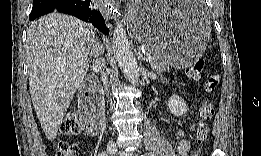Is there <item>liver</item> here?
I'll return each instance as SVG.
<instances>
[{
	"label": "liver",
	"mask_w": 261,
	"mask_h": 156,
	"mask_svg": "<svg viewBox=\"0 0 261 156\" xmlns=\"http://www.w3.org/2000/svg\"><path fill=\"white\" fill-rule=\"evenodd\" d=\"M95 41L90 23L51 13L31 23L27 32L29 90L41 127L53 141L65 112L89 68Z\"/></svg>",
	"instance_id": "obj_1"
}]
</instances>
